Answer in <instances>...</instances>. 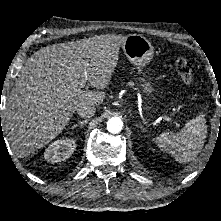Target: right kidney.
<instances>
[{
    "mask_svg": "<svg viewBox=\"0 0 221 221\" xmlns=\"http://www.w3.org/2000/svg\"><path fill=\"white\" fill-rule=\"evenodd\" d=\"M76 148V143L73 139H59L52 142L44 152V158L51 162L57 163L69 158Z\"/></svg>",
    "mask_w": 221,
    "mask_h": 221,
    "instance_id": "ca27d5eb",
    "label": "right kidney"
}]
</instances>
